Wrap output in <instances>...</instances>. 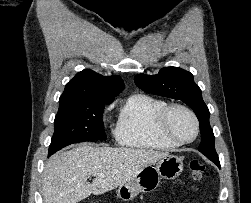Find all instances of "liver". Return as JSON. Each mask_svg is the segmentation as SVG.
<instances>
[{"instance_id": "6515ba94", "label": "liver", "mask_w": 251, "mask_h": 203, "mask_svg": "<svg viewBox=\"0 0 251 203\" xmlns=\"http://www.w3.org/2000/svg\"><path fill=\"white\" fill-rule=\"evenodd\" d=\"M152 149L110 148L81 144L54 154L43 171L44 203H78L132 181L147 166L168 156ZM103 174L104 177H100ZM90 176L95 179L87 182Z\"/></svg>"}]
</instances>
